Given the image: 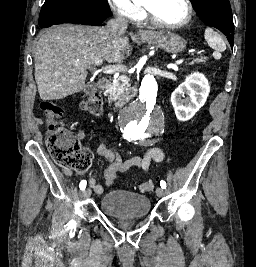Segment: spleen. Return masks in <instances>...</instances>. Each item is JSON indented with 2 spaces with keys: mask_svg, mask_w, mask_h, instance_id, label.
Instances as JSON below:
<instances>
[{
  "mask_svg": "<svg viewBox=\"0 0 256 267\" xmlns=\"http://www.w3.org/2000/svg\"><path fill=\"white\" fill-rule=\"evenodd\" d=\"M204 38L208 46L213 48V50H216L213 56H220V52H224V50H226V44L223 42L220 34H218V32H214L212 28H206Z\"/></svg>",
  "mask_w": 256,
  "mask_h": 267,
  "instance_id": "3e777b00",
  "label": "spleen"
}]
</instances>
